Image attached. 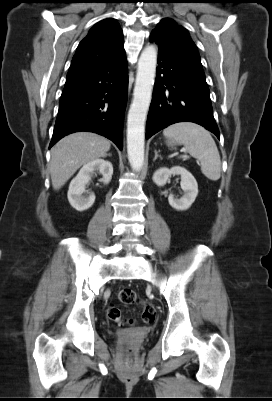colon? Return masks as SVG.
Instances as JSON below:
<instances>
[{
	"mask_svg": "<svg viewBox=\"0 0 272 401\" xmlns=\"http://www.w3.org/2000/svg\"><path fill=\"white\" fill-rule=\"evenodd\" d=\"M118 298L122 303L126 305L138 303L143 309L142 322L144 324L149 325L155 321L156 311L154 306L145 300L139 299L135 291H133L132 289L126 288L120 290L118 293ZM108 316L115 323L118 324L124 323L121 312L117 307H110L108 309ZM129 323L133 324L134 321L130 320Z\"/></svg>",
	"mask_w": 272,
	"mask_h": 401,
	"instance_id": "5ec220e1",
	"label": "colon"
}]
</instances>
